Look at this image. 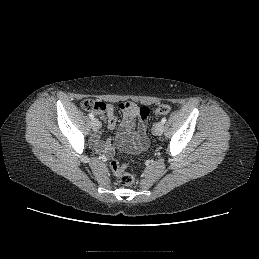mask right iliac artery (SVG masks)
I'll list each match as a JSON object with an SVG mask.
<instances>
[{
    "label": "right iliac artery",
    "instance_id": "82829eb1",
    "mask_svg": "<svg viewBox=\"0 0 259 259\" xmlns=\"http://www.w3.org/2000/svg\"><path fill=\"white\" fill-rule=\"evenodd\" d=\"M89 117H90L91 119H94V115H93L92 113L89 114Z\"/></svg>",
    "mask_w": 259,
    "mask_h": 259
}]
</instances>
